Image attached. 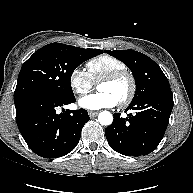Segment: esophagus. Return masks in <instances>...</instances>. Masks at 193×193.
Masks as SVG:
<instances>
[{
  "label": "esophagus",
  "instance_id": "obj_1",
  "mask_svg": "<svg viewBox=\"0 0 193 193\" xmlns=\"http://www.w3.org/2000/svg\"><path fill=\"white\" fill-rule=\"evenodd\" d=\"M88 114H89L90 118H94L98 115V112L97 111H89Z\"/></svg>",
  "mask_w": 193,
  "mask_h": 193
}]
</instances>
